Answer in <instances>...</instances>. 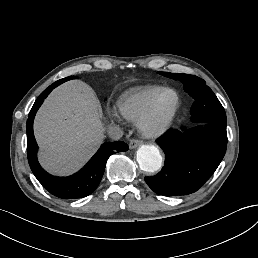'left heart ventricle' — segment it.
I'll return each mask as SVG.
<instances>
[{
	"mask_svg": "<svg viewBox=\"0 0 258 258\" xmlns=\"http://www.w3.org/2000/svg\"><path fill=\"white\" fill-rule=\"evenodd\" d=\"M173 106V97L170 94H164L160 97L155 114L144 123V129L147 132H156L162 120L170 113Z\"/></svg>",
	"mask_w": 258,
	"mask_h": 258,
	"instance_id": "obj_1",
	"label": "left heart ventricle"
}]
</instances>
